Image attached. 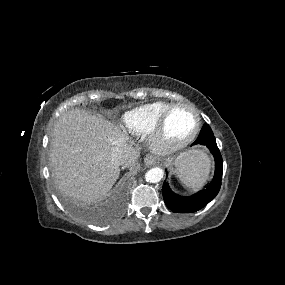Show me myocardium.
Segmentation results:
<instances>
[{"instance_id":"myocardium-1","label":"myocardium","mask_w":285,"mask_h":285,"mask_svg":"<svg viewBox=\"0 0 285 285\" xmlns=\"http://www.w3.org/2000/svg\"><path fill=\"white\" fill-rule=\"evenodd\" d=\"M178 109H185L193 113L196 117V125L193 131L187 137L181 140L173 141L167 138L165 131L169 117ZM201 127L202 119L196 108L184 103L173 104L163 113L149 134V147L154 153L159 155H168L174 153L192 143L200 133Z\"/></svg>"}]
</instances>
